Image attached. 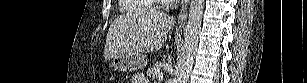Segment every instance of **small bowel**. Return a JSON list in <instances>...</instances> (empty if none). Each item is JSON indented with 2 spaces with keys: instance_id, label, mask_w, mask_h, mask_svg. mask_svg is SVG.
<instances>
[{
  "instance_id": "obj_1",
  "label": "small bowel",
  "mask_w": 307,
  "mask_h": 83,
  "mask_svg": "<svg viewBox=\"0 0 307 83\" xmlns=\"http://www.w3.org/2000/svg\"><path fill=\"white\" fill-rule=\"evenodd\" d=\"M134 83H145V81L139 75H137V77L134 79Z\"/></svg>"
}]
</instances>
